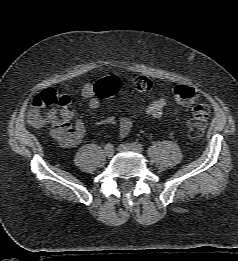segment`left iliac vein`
<instances>
[{
  "mask_svg": "<svg viewBox=\"0 0 238 261\" xmlns=\"http://www.w3.org/2000/svg\"><path fill=\"white\" fill-rule=\"evenodd\" d=\"M118 150L119 151H135V148L131 144L123 143L118 146Z\"/></svg>",
  "mask_w": 238,
  "mask_h": 261,
  "instance_id": "obj_1",
  "label": "left iliac vein"
}]
</instances>
